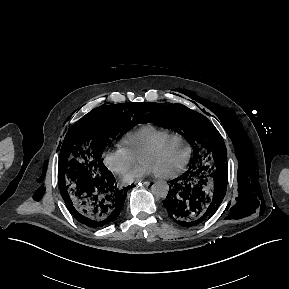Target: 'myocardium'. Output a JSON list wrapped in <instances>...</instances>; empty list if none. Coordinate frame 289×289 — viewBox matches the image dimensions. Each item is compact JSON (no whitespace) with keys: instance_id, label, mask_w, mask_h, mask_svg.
<instances>
[{"instance_id":"f54148a6","label":"myocardium","mask_w":289,"mask_h":289,"mask_svg":"<svg viewBox=\"0 0 289 289\" xmlns=\"http://www.w3.org/2000/svg\"><path fill=\"white\" fill-rule=\"evenodd\" d=\"M170 139H179V140L183 141L187 147V156H186V159H185L184 163L182 164V166L179 169H177L176 171L171 172V173H166V174H155L157 177L163 178V179H171V178L178 177L186 171V169L190 163L191 157H192V146H191L189 140L184 135H182L180 133L172 132V133L165 135L164 137L158 139L152 145H150L145 150H143L142 153L139 155V160L141 161V159L144 156L157 151L162 146L163 143H165L166 141H168Z\"/></svg>"}]
</instances>
